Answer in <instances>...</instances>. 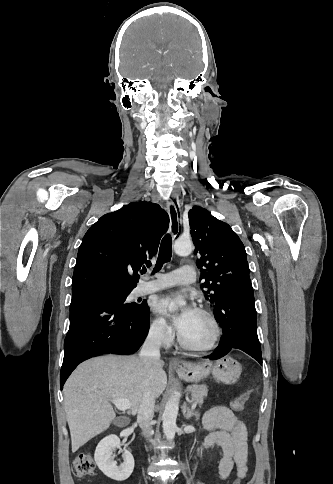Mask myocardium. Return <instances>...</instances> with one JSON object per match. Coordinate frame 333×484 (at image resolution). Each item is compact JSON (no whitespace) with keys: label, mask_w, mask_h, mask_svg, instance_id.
I'll list each match as a JSON object with an SVG mask.
<instances>
[{"label":"myocardium","mask_w":333,"mask_h":484,"mask_svg":"<svg viewBox=\"0 0 333 484\" xmlns=\"http://www.w3.org/2000/svg\"><path fill=\"white\" fill-rule=\"evenodd\" d=\"M195 311L207 317L213 326L214 333L210 342L205 346H193L187 343L178 332L177 334L178 343L183 349L187 351L194 352L197 354H206L212 351L216 347L222 333L221 326L216 316L210 310L203 307H198L195 309Z\"/></svg>","instance_id":"obj_1"}]
</instances>
